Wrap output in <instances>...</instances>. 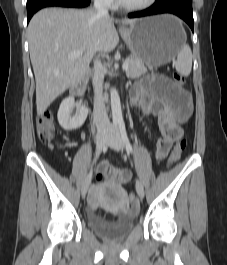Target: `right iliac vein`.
Returning a JSON list of instances; mask_svg holds the SVG:
<instances>
[{
  "mask_svg": "<svg viewBox=\"0 0 227 265\" xmlns=\"http://www.w3.org/2000/svg\"><path fill=\"white\" fill-rule=\"evenodd\" d=\"M108 138V134L106 132H101L97 135L96 137V147H97V154L102 150L104 147V144ZM91 175H88L82 185L81 193L82 196L84 197L88 191V188L91 183Z\"/></svg>",
  "mask_w": 227,
  "mask_h": 265,
  "instance_id": "1",
  "label": "right iliac vein"
}]
</instances>
